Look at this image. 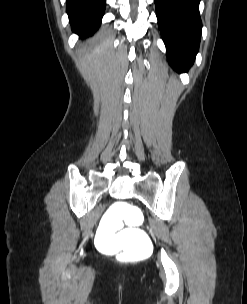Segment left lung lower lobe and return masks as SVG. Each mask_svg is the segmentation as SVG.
<instances>
[{
    "mask_svg": "<svg viewBox=\"0 0 247 304\" xmlns=\"http://www.w3.org/2000/svg\"><path fill=\"white\" fill-rule=\"evenodd\" d=\"M158 26L170 65L187 72L199 49L202 22L200 0H154Z\"/></svg>",
    "mask_w": 247,
    "mask_h": 304,
    "instance_id": "1",
    "label": "left lung lower lobe"
}]
</instances>
